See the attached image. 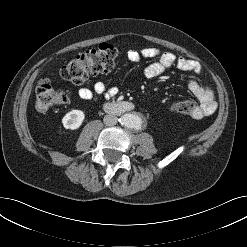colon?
<instances>
[{
    "label": "colon",
    "mask_w": 247,
    "mask_h": 247,
    "mask_svg": "<svg viewBox=\"0 0 247 247\" xmlns=\"http://www.w3.org/2000/svg\"><path fill=\"white\" fill-rule=\"evenodd\" d=\"M120 51L107 44L79 54L61 68L60 75L76 85H81L96 74L111 72L120 57ZM68 94L53 88L47 78L41 79L36 86V107L45 111L66 103ZM173 113L192 115L196 106L191 100L175 101L171 104Z\"/></svg>",
    "instance_id": "1"
}]
</instances>
